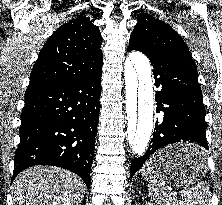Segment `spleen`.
<instances>
[{"label": "spleen", "instance_id": "1", "mask_svg": "<svg viewBox=\"0 0 222 205\" xmlns=\"http://www.w3.org/2000/svg\"><path fill=\"white\" fill-rule=\"evenodd\" d=\"M156 159L151 157L142 167V175L146 180H151L149 190L152 192L153 198L158 205H210V190L206 182H200L191 188H184L180 194L185 200L177 201L171 196L169 192L163 187L164 185L159 181L154 172V164Z\"/></svg>", "mask_w": 222, "mask_h": 205}]
</instances>
